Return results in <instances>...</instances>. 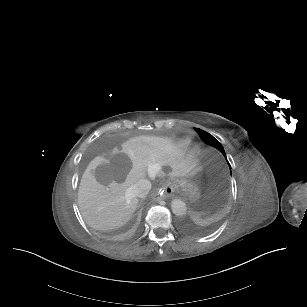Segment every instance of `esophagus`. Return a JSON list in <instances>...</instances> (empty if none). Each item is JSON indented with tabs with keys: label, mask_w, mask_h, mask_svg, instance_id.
Masks as SVG:
<instances>
[{
	"label": "esophagus",
	"mask_w": 307,
	"mask_h": 307,
	"mask_svg": "<svg viewBox=\"0 0 307 307\" xmlns=\"http://www.w3.org/2000/svg\"><path fill=\"white\" fill-rule=\"evenodd\" d=\"M174 195V188L171 183H165L163 186V196L165 198H171Z\"/></svg>",
	"instance_id": "1"
}]
</instances>
